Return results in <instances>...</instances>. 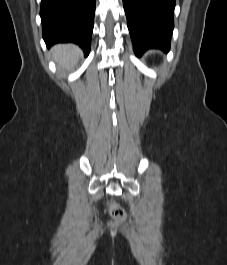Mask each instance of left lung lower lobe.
I'll return each mask as SVG.
<instances>
[{
  "mask_svg": "<svg viewBox=\"0 0 227 265\" xmlns=\"http://www.w3.org/2000/svg\"><path fill=\"white\" fill-rule=\"evenodd\" d=\"M123 5L135 53L169 51L175 0H123Z\"/></svg>",
  "mask_w": 227,
  "mask_h": 265,
  "instance_id": "left-lung-lower-lobe-1",
  "label": "left lung lower lobe"
}]
</instances>
